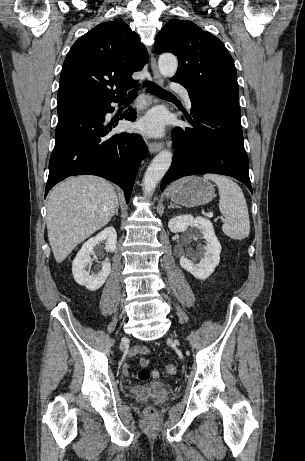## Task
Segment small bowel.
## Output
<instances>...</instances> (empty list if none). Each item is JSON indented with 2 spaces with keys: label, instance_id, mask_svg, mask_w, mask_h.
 <instances>
[{
  "label": "small bowel",
  "instance_id": "1",
  "mask_svg": "<svg viewBox=\"0 0 305 461\" xmlns=\"http://www.w3.org/2000/svg\"><path fill=\"white\" fill-rule=\"evenodd\" d=\"M149 353H150V349L147 348L146 346H142V345L135 346L129 351V355L131 357L140 356L139 357V364L142 367H147L150 364V360L143 356V355H147ZM123 373H124V375L126 377H134L135 376V374L131 371V369H130V367L128 365H125L123 367ZM157 374H158L157 371H153L154 376H157Z\"/></svg>",
  "mask_w": 305,
  "mask_h": 461
}]
</instances>
